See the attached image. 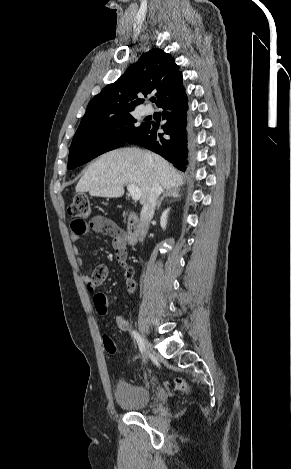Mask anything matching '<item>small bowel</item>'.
Listing matches in <instances>:
<instances>
[{
	"label": "small bowel",
	"instance_id": "c3829d8e",
	"mask_svg": "<svg viewBox=\"0 0 291 469\" xmlns=\"http://www.w3.org/2000/svg\"><path fill=\"white\" fill-rule=\"evenodd\" d=\"M72 234L71 240L73 243H77L81 236L87 233L88 231H94L97 233L105 234L111 237L112 245L116 252V256L119 252L125 253V262H126V251H125V232L119 228L113 221L105 218L103 216L93 217L87 224L75 220L71 222L70 225ZM73 252L77 256V264L80 268H83V260L80 257V249L77 245L73 246ZM109 269L106 265L100 264L94 268L91 274H83L82 280L86 284V287L89 291L93 292L95 289L103 283L108 277ZM129 284L130 290L133 289V283ZM95 297V294H94ZM107 312V311H106ZM105 312V313H106ZM103 314V313H100ZM116 324L121 331H127L129 329V322L126 318L122 316L116 317Z\"/></svg>",
	"mask_w": 291,
	"mask_h": 469
}]
</instances>
